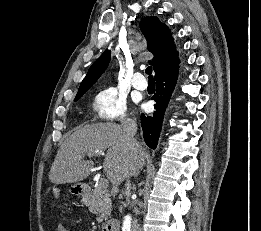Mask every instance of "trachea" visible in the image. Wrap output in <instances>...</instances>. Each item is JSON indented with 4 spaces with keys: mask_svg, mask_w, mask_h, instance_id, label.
<instances>
[{
    "mask_svg": "<svg viewBox=\"0 0 261 231\" xmlns=\"http://www.w3.org/2000/svg\"><path fill=\"white\" fill-rule=\"evenodd\" d=\"M145 73L149 75V81H154V79H153V77L151 75L152 74V67L151 66L146 68Z\"/></svg>",
    "mask_w": 261,
    "mask_h": 231,
    "instance_id": "obj_1",
    "label": "trachea"
}]
</instances>
